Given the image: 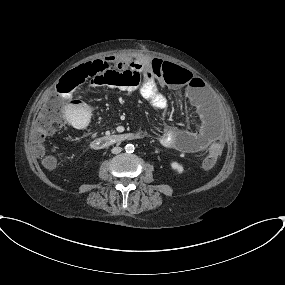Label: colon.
<instances>
[{"label": "colon", "instance_id": "colon-1", "mask_svg": "<svg viewBox=\"0 0 285 285\" xmlns=\"http://www.w3.org/2000/svg\"><path fill=\"white\" fill-rule=\"evenodd\" d=\"M186 74V69L165 63L162 76H185ZM95 79L110 88L134 92L141 86L142 73L138 70L121 68L119 64L112 63L107 59L87 62L66 73L61 79L59 93L51 94L44 102L41 111L34 118L31 137L37 147H41L42 143L51 134L57 132L65 125L67 116L63 100L67 97L75 98L74 95L79 85ZM66 81H70V83L63 87ZM89 121L83 120L80 125L85 126ZM220 154L221 151L214 147L211 154L203 161V168L209 169L213 167ZM54 163L50 156L45 160L47 167H52Z\"/></svg>", "mask_w": 285, "mask_h": 285}]
</instances>
